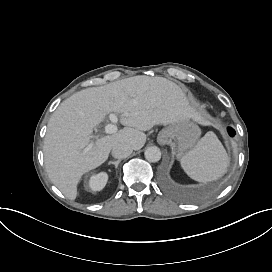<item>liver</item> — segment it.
I'll use <instances>...</instances> for the list:
<instances>
[{"instance_id": "liver-1", "label": "liver", "mask_w": 272, "mask_h": 272, "mask_svg": "<svg viewBox=\"0 0 272 272\" xmlns=\"http://www.w3.org/2000/svg\"><path fill=\"white\" fill-rule=\"evenodd\" d=\"M110 112L120 114L125 127L97 138L87 150L93 129ZM189 119L204 122L182 89L163 77L138 75L83 89L64 100L49 119L43 146L46 171L62 194L75 200L82 175L104 163L113 146L124 143L140 150L146 142L143 131Z\"/></svg>"}]
</instances>
